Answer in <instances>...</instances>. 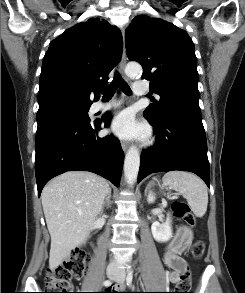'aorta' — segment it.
Wrapping results in <instances>:
<instances>
[{"instance_id": "1", "label": "aorta", "mask_w": 245, "mask_h": 293, "mask_svg": "<svg viewBox=\"0 0 245 293\" xmlns=\"http://www.w3.org/2000/svg\"><path fill=\"white\" fill-rule=\"evenodd\" d=\"M125 73L129 77L141 75L142 67L138 63H129L125 68ZM140 166V153L135 146H131L126 153L124 161V176L129 185H133L137 180Z\"/></svg>"}]
</instances>
